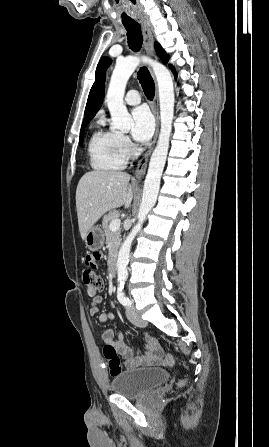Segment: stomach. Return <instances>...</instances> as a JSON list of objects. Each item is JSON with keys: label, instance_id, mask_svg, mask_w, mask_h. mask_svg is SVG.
<instances>
[{"label": "stomach", "instance_id": "1", "mask_svg": "<svg viewBox=\"0 0 269 447\" xmlns=\"http://www.w3.org/2000/svg\"><path fill=\"white\" fill-rule=\"evenodd\" d=\"M85 243L88 249L91 251H95V249H101L104 243V233L101 227H97V225H93L89 231H87L85 235Z\"/></svg>", "mask_w": 269, "mask_h": 447}]
</instances>
